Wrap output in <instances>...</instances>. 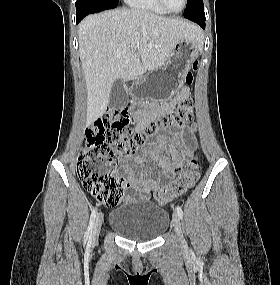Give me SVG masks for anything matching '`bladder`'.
Instances as JSON below:
<instances>
[{
    "instance_id": "bladder-1",
    "label": "bladder",
    "mask_w": 280,
    "mask_h": 285,
    "mask_svg": "<svg viewBox=\"0 0 280 285\" xmlns=\"http://www.w3.org/2000/svg\"><path fill=\"white\" fill-rule=\"evenodd\" d=\"M109 226L120 236L148 241L163 234L169 224L168 213L149 201H127L114 208L108 220Z\"/></svg>"
}]
</instances>
